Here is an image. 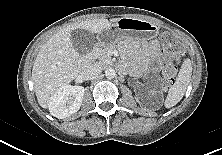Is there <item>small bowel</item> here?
<instances>
[{"label":"small bowel","instance_id":"c3829d8e","mask_svg":"<svg viewBox=\"0 0 222 155\" xmlns=\"http://www.w3.org/2000/svg\"><path fill=\"white\" fill-rule=\"evenodd\" d=\"M147 62L146 64L152 68H156L158 65V44L156 42H151L147 48Z\"/></svg>","mask_w":222,"mask_h":155}]
</instances>
